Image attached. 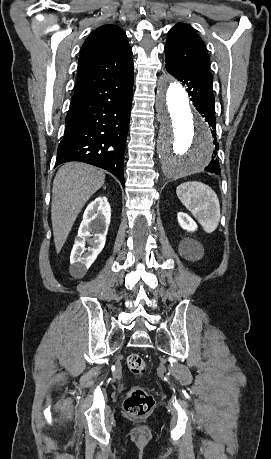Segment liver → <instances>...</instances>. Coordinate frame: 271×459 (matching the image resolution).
Wrapping results in <instances>:
<instances>
[{
	"label": "liver",
	"instance_id": "obj_1",
	"mask_svg": "<svg viewBox=\"0 0 271 459\" xmlns=\"http://www.w3.org/2000/svg\"><path fill=\"white\" fill-rule=\"evenodd\" d=\"M104 182V170L82 162H68L58 170L53 182L51 206L57 253L61 251L79 212Z\"/></svg>",
	"mask_w": 271,
	"mask_h": 459
}]
</instances>
